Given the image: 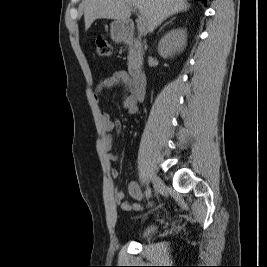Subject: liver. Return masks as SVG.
<instances>
[{"label":"liver","instance_id":"6515ba94","mask_svg":"<svg viewBox=\"0 0 267 267\" xmlns=\"http://www.w3.org/2000/svg\"><path fill=\"white\" fill-rule=\"evenodd\" d=\"M85 30L96 19H114L125 21L135 7L145 18L148 32L160 25L165 19L176 13L186 11L190 5L186 0H83Z\"/></svg>","mask_w":267,"mask_h":267}]
</instances>
